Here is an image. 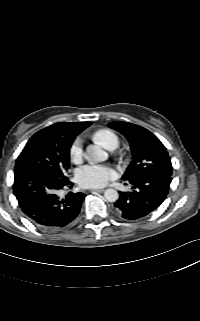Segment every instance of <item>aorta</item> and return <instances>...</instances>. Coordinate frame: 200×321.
I'll list each match as a JSON object with an SVG mask.
<instances>
[{
	"label": "aorta",
	"instance_id": "1",
	"mask_svg": "<svg viewBox=\"0 0 200 321\" xmlns=\"http://www.w3.org/2000/svg\"><path fill=\"white\" fill-rule=\"evenodd\" d=\"M108 154L97 145L87 147V160L89 162H103L107 160ZM104 197L108 202H116L119 199V194L115 189L109 188L105 190Z\"/></svg>",
	"mask_w": 200,
	"mask_h": 321
}]
</instances>
